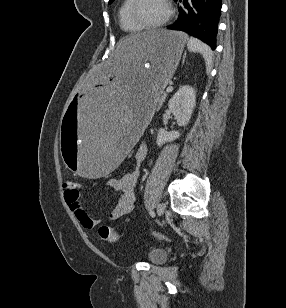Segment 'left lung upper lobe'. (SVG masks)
<instances>
[{
    "label": "left lung upper lobe",
    "instance_id": "left-lung-upper-lobe-1",
    "mask_svg": "<svg viewBox=\"0 0 286 308\" xmlns=\"http://www.w3.org/2000/svg\"><path fill=\"white\" fill-rule=\"evenodd\" d=\"M114 0H109V3H112Z\"/></svg>",
    "mask_w": 286,
    "mask_h": 308
}]
</instances>
